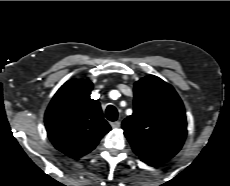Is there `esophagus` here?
I'll use <instances>...</instances> for the list:
<instances>
[{
    "instance_id": "esophagus-1",
    "label": "esophagus",
    "mask_w": 230,
    "mask_h": 186,
    "mask_svg": "<svg viewBox=\"0 0 230 186\" xmlns=\"http://www.w3.org/2000/svg\"><path fill=\"white\" fill-rule=\"evenodd\" d=\"M110 124L113 129H118L121 125L120 121H114V122H111Z\"/></svg>"
}]
</instances>
